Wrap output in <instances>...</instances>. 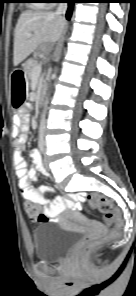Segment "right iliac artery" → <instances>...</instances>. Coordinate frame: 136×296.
Returning <instances> with one entry per match:
<instances>
[{"instance_id": "82829eb1", "label": "right iliac artery", "mask_w": 136, "mask_h": 296, "mask_svg": "<svg viewBox=\"0 0 136 296\" xmlns=\"http://www.w3.org/2000/svg\"><path fill=\"white\" fill-rule=\"evenodd\" d=\"M39 149L42 153H44L45 151L44 144H39Z\"/></svg>"}]
</instances>
